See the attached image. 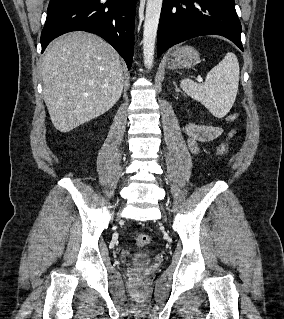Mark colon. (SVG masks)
Instances as JSON below:
<instances>
[{
  "label": "colon",
  "mask_w": 284,
  "mask_h": 319,
  "mask_svg": "<svg viewBox=\"0 0 284 319\" xmlns=\"http://www.w3.org/2000/svg\"><path fill=\"white\" fill-rule=\"evenodd\" d=\"M238 118L237 113H231L226 116L227 121H234ZM219 152L221 154H225L228 151L227 145L226 144H221L218 148ZM150 242V236L145 233H140L136 236L135 238V244L139 247L146 246Z\"/></svg>",
  "instance_id": "colon-1"
}]
</instances>
